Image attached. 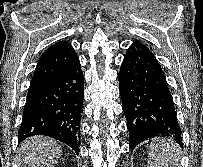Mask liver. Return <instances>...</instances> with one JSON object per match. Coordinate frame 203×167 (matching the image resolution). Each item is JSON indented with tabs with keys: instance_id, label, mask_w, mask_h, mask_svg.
Listing matches in <instances>:
<instances>
[{
	"instance_id": "1",
	"label": "liver",
	"mask_w": 203,
	"mask_h": 167,
	"mask_svg": "<svg viewBox=\"0 0 203 167\" xmlns=\"http://www.w3.org/2000/svg\"><path fill=\"white\" fill-rule=\"evenodd\" d=\"M56 141L44 136L24 140L19 148V167H55L61 156Z\"/></svg>"
}]
</instances>
